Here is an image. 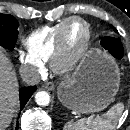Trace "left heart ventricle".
Here are the masks:
<instances>
[{"label":"left heart ventricle","instance_id":"obj_1","mask_svg":"<svg viewBox=\"0 0 130 130\" xmlns=\"http://www.w3.org/2000/svg\"><path fill=\"white\" fill-rule=\"evenodd\" d=\"M86 30L81 22H73L67 31V44L70 52H76L83 44Z\"/></svg>","mask_w":130,"mask_h":130}]
</instances>
